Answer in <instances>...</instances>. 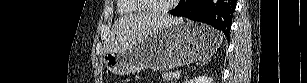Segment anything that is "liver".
<instances>
[{
    "label": "liver",
    "mask_w": 307,
    "mask_h": 83,
    "mask_svg": "<svg viewBox=\"0 0 307 83\" xmlns=\"http://www.w3.org/2000/svg\"><path fill=\"white\" fill-rule=\"evenodd\" d=\"M182 19L171 16L137 14L119 19L111 32L109 47L106 50H117L136 43L145 36L156 32L163 26L178 22Z\"/></svg>",
    "instance_id": "1"
}]
</instances>
